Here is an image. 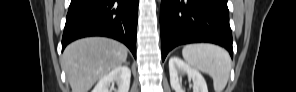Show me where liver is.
<instances>
[{
    "instance_id": "liver-1",
    "label": "liver",
    "mask_w": 296,
    "mask_h": 92,
    "mask_svg": "<svg viewBox=\"0 0 296 92\" xmlns=\"http://www.w3.org/2000/svg\"><path fill=\"white\" fill-rule=\"evenodd\" d=\"M127 55V48L118 41L89 37L66 47L61 67L72 92H88L104 75L125 63Z\"/></svg>"
}]
</instances>
